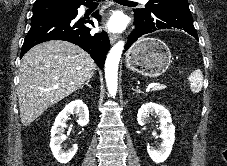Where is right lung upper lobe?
Here are the masks:
<instances>
[{"label": "right lung upper lobe", "mask_w": 227, "mask_h": 166, "mask_svg": "<svg viewBox=\"0 0 227 166\" xmlns=\"http://www.w3.org/2000/svg\"><path fill=\"white\" fill-rule=\"evenodd\" d=\"M89 0H36L34 5L46 4H63V5H76Z\"/></svg>", "instance_id": "cb5924a9"}]
</instances>
